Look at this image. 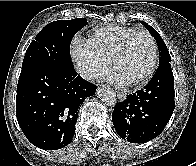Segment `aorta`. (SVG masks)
Returning <instances> with one entry per match:
<instances>
[{
  "label": "aorta",
  "mask_w": 196,
  "mask_h": 166,
  "mask_svg": "<svg viewBox=\"0 0 196 166\" xmlns=\"http://www.w3.org/2000/svg\"><path fill=\"white\" fill-rule=\"evenodd\" d=\"M98 97L102 100L106 105L114 106L116 103V94L112 88L109 86H103L98 89Z\"/></svg>",
  "instance_id": "aorta-1"
}]
</instances>
